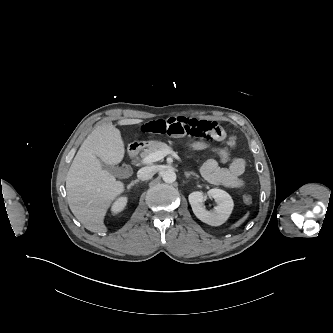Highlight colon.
I'll return each mask as SVG.
<instances>
[{
    "mask_svg": "<svg viewBox=\"0 0 333 333\" xmlns=\"http://www.w3.org/2000/svg\"><path fill=\"white\" fill-rule=\"evenodd\" d=\"M184 147L189 151L200 152V151H213L217 153L222 161L228 160V154L222 147H218L208 140L198 138H188L183 141ZM243 201L246 204H251L253 199L250 195L245 194Z\"/></svg>",
    "mask_w": 333,
    "mask_h": 333,
    "instance_id": "colon-1",
    "label": "colon"
}]
</instances>
